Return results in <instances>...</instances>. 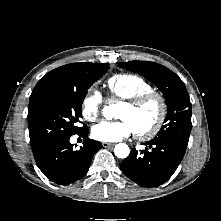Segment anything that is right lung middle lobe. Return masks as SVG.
<instances>
[{
  "label": "right lung middle lobe",
  "instance_id": "dd1d6c3e",
  "mask_svg": "<svg viewBox=\"0 0 221 221\" xmlns=\"http://www.w3.org/2000/svg\"><path fill=\"white\" fill-rule=\"evenodd\" d=\"M108 64L82 63L78 75L46 91L28 108V127L32 150L50 141L72 136L82 130L77 123L90 86L108 70Z\"/></svg>",
  "mask_w": 221,
  "mask_h": 221
}]
</instances>
